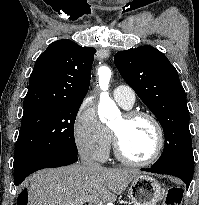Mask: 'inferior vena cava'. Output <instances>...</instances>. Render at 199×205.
I'll return each instance as SVG.
<instances>
[{"label":"inferior vena cava","mask_w":199,"mask_h":205,"mask_svg":"<svg viewBox=\"0 0 199 205\" xmlns=\"http://www.w3.org/2000/svg\"><path fill=\"white\" fill-rule=\"evenodd\" d=\"M81 165L89 169H100L101 165L94 162L88 153H81Z\"/></svg>","instance_id":"inferior-vena-cava-1"}]
</instances>
